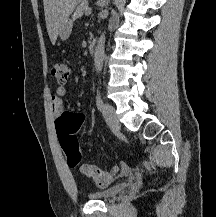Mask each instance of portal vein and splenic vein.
<instances>
[{"label": "portal vein and splenic vein", "instance_id": "obj_1", "mask_svg": "<svg viewBox=\"0 0 216 217\" xmlns=\"http://www.w3.org/2000/svg\"><path fill=\"white\" fill-rule=\"evenodd\" d=\"M91 12H92V9H91V8H89V7H87V9H86V15H90V14H91Z\"/></svg>", "mask_w": 216, "mask_h": 217}]
</instances>
